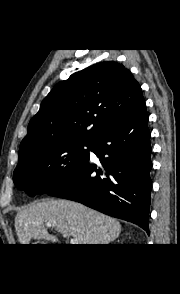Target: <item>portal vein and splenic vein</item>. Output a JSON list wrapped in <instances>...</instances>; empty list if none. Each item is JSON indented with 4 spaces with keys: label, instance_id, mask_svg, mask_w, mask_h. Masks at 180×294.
<instances>
[{
    "label": "portal vein and splenic vein",
    "instance_id": "obj_1",
    "mask_svg": "<svg viewBox=\"0 0 180 294\" xmlns=\"http://www.w3.org/2000/svg\"><path fill=\"white\" fill-rule=\"evenodd\" d=\"M46 227H52V223H46ZM70 244L77 245L79 244V240L77 238H72L70 240Z\"/></svg>",
    "mask_w": 180,
    "mask_h": 294
}]
</instances>
